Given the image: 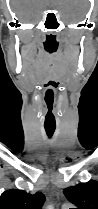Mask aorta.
Wrapping results in <instances>:
<instances>
[{"label": "aorta", "mask_w": 98, "mask_h": 209, "mask_svg": "<svg viewBox=\"0 0 98 209\" xmlns=\"http://www.w3.org/2000/svg\"><path fill=\"white\" fill-rule=\"evenodd\" d=\"M47 209H54L53 206H48Z\"/></svg>", "instance_id": "aorta-1"}]
</instances>
